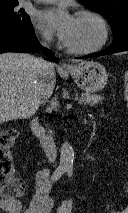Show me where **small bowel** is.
<instances>
[{"instance_id": "1", "label": "small bowel", "mask_w": 128, "mask_h": 213, "mask_svg": "<svg viewBox=\"0 0 128 213\" xmlns=\"http://www.w3.org/2000/svg\"><path fill=\"white\" fill-rule=\"evenodd\" d=\"M50 171L46 168L36 173V191L30 206L24 213H51L55 207L54 200L50 197ZM0 209L6 213H20L21 203L18 200H3Z\"/></svg>"}]
</instances>
